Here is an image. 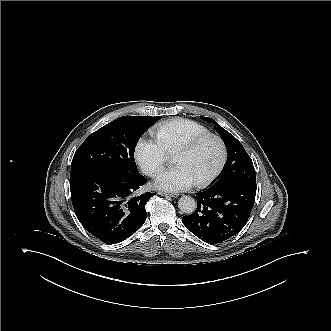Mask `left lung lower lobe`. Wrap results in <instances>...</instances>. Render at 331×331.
Returning a JSON list of instances; mask_svg holds the SVG:
<instances>
[{
	"instance_id": "0a47b994",
	"label": "left lung lower lobe",
	"mask_w": 331,
	"mask_h": 331,
	"mask_svg": "<svg viewBox=\"0 0 331 331\" xmlns=\"http://www.w3.org/2000/svg\"><path fill=\"white\" fill-rule=\"evenodd\" d=\"M256 186L233 183L196 193L197 209L183 216L185 227L206 243L217 244L236 235L254 205Z\"/></svg>"
}]
</instances>
